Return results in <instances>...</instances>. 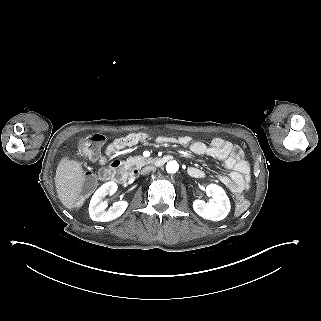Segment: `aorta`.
Here are the masks:
<instances>
[{
    "label": "aorta",
    "mask_w": 321,
    "mask_h": 321,
    "mask_svg": "<svg viewBox=\"0 0 321 321\" xmlns=\"http://www.w3.org/2000/svg\"><path fill=\"white\" fill-rule=\"evenodd\" d=\"M178 169H179V164L175 160L169 161L166 164V171L168 173H176Z\"/></svg>",
    "instance_id": "1"
}]
</instances>
